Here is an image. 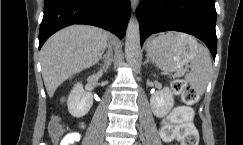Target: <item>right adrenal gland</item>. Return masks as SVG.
<instances>
[{
  "label": "right adrenal gland",
  "instance_id": "1",
  "mask_svg": "<svg viewBox=\"0 0 243 145\" xmlns=\"http://www.w3.org/2000/svg\"><path fill=\"white\" fill-rule=\"evenodd\" d=\"M112 56H113V53H112V51L109 49V50L107 51V53H106L103 57H101V61H102L104 64L109 63V62L111 61V59H112Z\"/></svg>",
  "mask_w": 243,
  "mask_h": 145
}]
</instances>
